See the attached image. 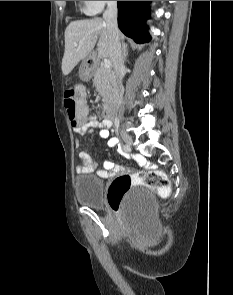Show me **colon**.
<instances>
[{"label":"colon","instance_id":"obj_1","mask_svg":"<svg viewBox=\"0 0 233 295\" xmlns=\"http://www.w3.org/2000/svg\"><path fill=\"white\" fill-rule=\"evenodd\" d=\"M64 106L71 123L73 125L81 124L87 116L85 89L77 85L66 90ZM136 186L156 189L162 196L169 192V180L161 171L144 170L133 175H120L109 186L108 203L110 207L115 211L119 210L131 189Z\"/></svg>","mask_w":233,"mask_h":295}]
</instances>
